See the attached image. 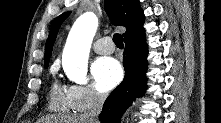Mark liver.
<instances>
[{
    "label": "liver",
    "mask_w": 221,
    "mask_h": 123,
    "mask_svg": "<svg viewBox=\"0 0 221 123\" xmlns=\"http://www.w3.org/2000/svg\"><path fill=\"white\" fill-rule=\"evenodd\" d=\"M55 123H92L90 122L89 118L86 115H79V116H65L61 118H57ZM48 122H52V120L48 119Z\"/></svg>",
    "instance_id": "obj_1"
}]
</instances>
